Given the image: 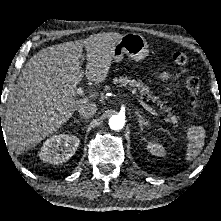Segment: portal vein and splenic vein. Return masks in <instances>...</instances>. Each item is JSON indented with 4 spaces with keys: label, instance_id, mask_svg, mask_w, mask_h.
<instances>
[{
    "label": "portal vein and splenic vein",
    "instance_id": "portal-vein-and-splenic-vein-1",
    "mask_svg": "<svg viewBox=\"0 0 221 221\" xmlns=\"http://www.w3.org/2000/svg\"><path fill=\"white\" fill-rule=\"evenodd\" d=\"M77 95L80 97H84V90L82 87H78L76 91ZM133 97L137 100V102L144 108L146 109L149 113L154 115L155 117H160V114L157 113L153 108H151L142 98L133 95Z\"/></svg>",
    "mask_w": 221,
    "mask_h": 221
}]
</instances>
